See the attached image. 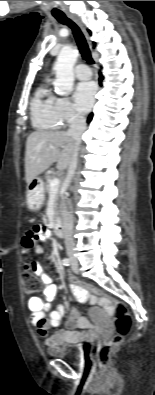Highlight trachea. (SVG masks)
<instances>
[{"label": "trachea", "instance_id": "1", "mask_svg": "<svg viewBox=\"0 0 155 395\" xmlns=\"http://www.w3.org/2000/svg\"><path fill=\"white\" fill-rule=\"evenodd\" d=\"M54 17L58 22L67 25L72 29L73 35L76 39L82 58L86 60L88 63L93 64L94 61L92 59L89 46L79 26L70 18H68L65 14L54 15Z\"/></svg>", "mask_w": 155, "mask_h": 395}]
</instances>
